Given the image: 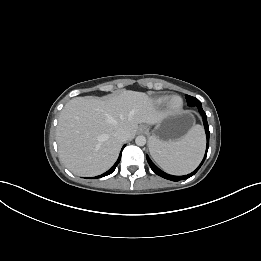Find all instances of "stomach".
Segmentation results:
<instances>
[{
    "mask_svg": "<svg viewBox=\"0 0 261 261\" xmlns=\"http://www.w3.org/2000/svg\"><path fill=\"white\" fill-rule=\"evenodd\" d=\"M194 122V116L188 111L167 114L154 125L151 139L162 142L176 141L192 128ZM149 130L150 128L146 127V131Z\"/></svg>",
    "mask_w": 261,
    "mask_h": 261,
    "instance_id": "obj_1",
    "label": "stomach"
}]
</instances>
